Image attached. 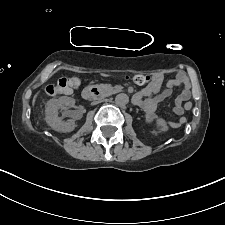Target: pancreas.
<instances>
[{"label": "pancreas", "mask_w": 225, "mask_h": 225, "mask_svg": "<svg viewBox=\"0 0 225 225\" xmlns=\"http://www.w3.org/2000/svg\"><path fill=\"white\" fill-rule=\"evenodd\" d=\"M99 89L104 95H110L118 91V87H112L110 84H100Z\"/></svg>", "instance_id": "1"}]
</instances>
